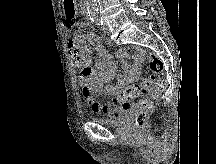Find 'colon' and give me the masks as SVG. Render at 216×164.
<instances>
[{
    "instance_id": "obj_1",
    "label": "colon",
    "mask_w": 216,
    "mask_h": 164,
    "mask_svg": "<svg viewBox=\"0 0 216 164\" xmlns=\"http://www.w3.org/2000/svg\"><path fill=\"white\" fill-rule=\"evenodd\" d=\"M148 66L151 74L143 77L139 82L123 88L118 95L119 101L128 102L146 95L155 98L165 89L166 81L160 76L164 71V65L161 59L155 54H149ZM151 110L152 101L149 98L141 99L132 117V125L135 127H142L147 121Z\"/></svg>"
}]
</instances>
